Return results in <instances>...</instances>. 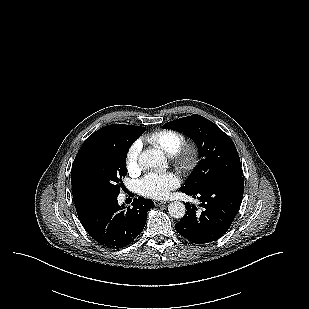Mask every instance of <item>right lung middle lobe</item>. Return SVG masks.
<instances>
[{"label": "right lung middle lobe", "mask_w": 309, "mask_h": 309, "mask_svg": "<svg viewBox=\"0 0 309 309\" xmlns=\"http://www.w3.org/2000/svg\"><path fill=\"white\" fill-rule=\"evenodd\" d=\"M145 130V127H124L93 146L83 170L88 193L93 199L119 195L123 186L121 178L127 174V152Z\"/></svg>", "instance_id": "right-lung-middle-lobe-1"}]
</instances>
